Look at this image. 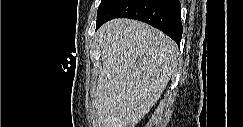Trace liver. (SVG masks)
Wrapping results in <instances>:
<instances>
[{"label": "liver", "mask_w": 243, "mask_h": 127, "mask_svg": "<svg viewBox=\"0 0 243 127\" xmlns=\"http://www.w3.org/2000/svg\"><path fill=\"white\" fill-rule=\"evenodd\" d=\"M103 69L93 105L102 127H134L160 99L177 63L173 40L148 24L114 19L98 31Z\"/></svg>", "instance_id": "obj_1"}]
</instances>
